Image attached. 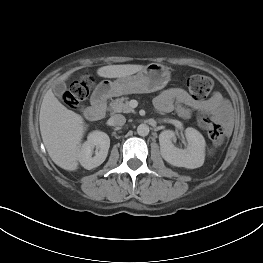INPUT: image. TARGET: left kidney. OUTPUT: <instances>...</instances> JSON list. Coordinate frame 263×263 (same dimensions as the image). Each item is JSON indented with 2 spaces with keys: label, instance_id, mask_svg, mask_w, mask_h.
Here are the masks:
<instances>
[{
  "label": "left kidney",
  "instance_id": "left-kidney-1",
  "mask_svg": "<svg viewBox=\"0 0 263 263\" xmlns=\"http://www.w3.org/2000/svg\"><path fill=\"white\" fill-rule=\"evenodd\" d=\"M175 133L164 130L159 135L161 155L165 161L173 166L194 169L201 167L205 159V139L194 128L188 127L185 136L188 141L186 149H179L172 143Z\"/></svg>",
  "mask_w": 263,
  "mask_h": 263
}]
</instances>
